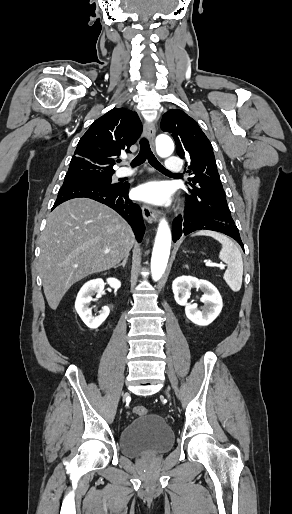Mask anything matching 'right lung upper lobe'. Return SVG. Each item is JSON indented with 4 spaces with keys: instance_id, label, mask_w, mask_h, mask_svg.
Here are the masks:
<instances>
[{
    "instance_id": "cb5924a9",
    "label": "right lung upper lobe",
    "mask_w": 292,
    "mask_h": 514,
    "mask_svg": "<svg viewBox=\"0 0 292 514\" xmlns=\"http://www.w3.org/2000/svg\"><path fill=\"white\" fill-rule=\"evenodd\" d=\"M142 132L136 112L116 108L98 118L81 137L68 172H115L121 152L130 153Z\"/></svg>"
}]
</instances>
